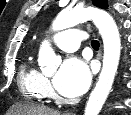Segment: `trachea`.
<instances>
[{"instance_id": "3493384b", "label": "trachea", "mask_w": 131, "mask_h": 115, "mask_svg": "<svg viewBox=\"0 0 131 115\" xmlns=\"http://www.w3.org/2000/svg\"><path fill=\"white\" fill-rule=\"evenodd\" d=\"M91 46H92V48H94V49H99V41H97V40H92Z\"/></svg>"}]
</instances>
